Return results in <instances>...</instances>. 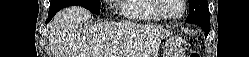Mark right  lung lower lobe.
<instances>
[{
    "label": "right lung lower lobe",
    "instance_id": "obj_1",
    "mask_svg": "<svg viewBox=\"0 0 249 57\" xmlns=\"http://www.w3.org/2000/svg\"><path fill=\"white\" fill-rule=\"evenodd\" d=\"M60 9H50L49 10V14H48V18H47V20H46V23L47 22H49L52 18H53V16L59 11Z\"/></svg>",
    "mask_w": 249,
    "mask_h": 57
}]
</instances>
